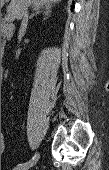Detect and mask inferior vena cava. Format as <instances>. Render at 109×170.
Wrapping results in <instances>:
<instances>
[{
    "label": "inferior vena cava",
    "mask_w": 109,
    "mask_h": 170,
    "mask_svg": "<svg viewBox=\"0 0 109 170\" xmlns=\"http://www.w3.org/2000/svg\"><path fill=\"white\" fill-rule=\"evenodd\" d=\"M29 1L25 2L24 8H23V12H22V22H21V27L19 30V41L21 39V36L23 35L24 30L27 27V23H28V7H29Z\"/></svg>",
    "instance_id": "1"
}]
</instances>
